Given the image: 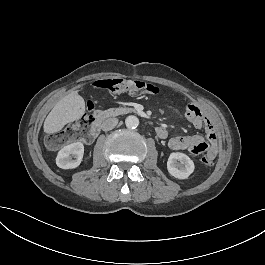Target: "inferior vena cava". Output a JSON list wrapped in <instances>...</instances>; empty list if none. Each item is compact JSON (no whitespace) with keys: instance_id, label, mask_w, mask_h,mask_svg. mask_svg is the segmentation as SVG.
Here are the masks:
<instances>
[{"instance_id":"inferior-vena-cava-1","label":"inferior vena cava","mask_w":265,"mask_h":265,"mask_svg":"<svg viewBox=\"0 0 265 265\" xmlns=\"http://www.w3.org/2000/svg\"><path fill=\"white\" fill-rule=\"evenodd\" d=\"M117 124H118L117 118H108L102 123V130L110 131L113 128H115Z\"/></svg>"}]
</instances>
